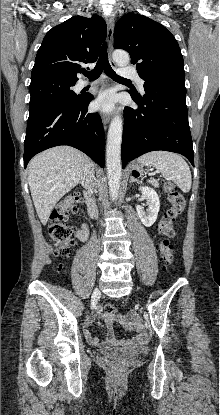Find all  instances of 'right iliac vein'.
I'll use <instances>...</instances> for the list:
<instances>
[{"mask_svg":"<svg viewBox=\"0 0 220 415\" xmlns=\"http://www.w3.org/2000/svg\"><path fill=\"white\" fill-rule=\"evenodd\" d=\"M100 290L98 287H96L93 291L92 297H91V308L94 309L97 305L98 299L100 298Z\"/></svg>","mask_w":220,"mask_h":415,"instance_id":"63e3f726","label":"right iliac vein"}]
</instances>
